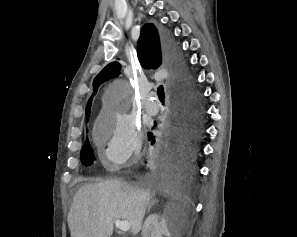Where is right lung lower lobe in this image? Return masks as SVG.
Instances as JSON below:
<instances>
[{"instance_id":"obj_1","label":"right lung lower lobe","mask_w":297,"mask_h":237,"mask_svg":"<svg viewBox=\"0 0 297 237\" xmlns=\"http://www.w3.org/2000/svg\"><path fill=\"white\" fill-rule=\"evenodd\" d=\"M162 36L167 63L180 79L184 69L179 51L168 33H163ZM178 83L176 92L178 110L174 118V127L159 159L154 162L156 174L162 178L197 171L194 162L196 153L194 137L198 130V101L185 85ZM148 140L154 145L155 137L152 133H148Z\"/></svg>"}]
</instances>
